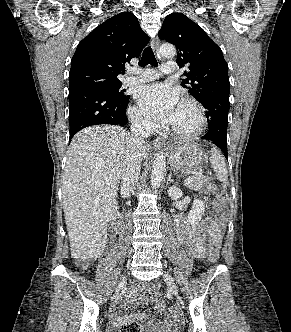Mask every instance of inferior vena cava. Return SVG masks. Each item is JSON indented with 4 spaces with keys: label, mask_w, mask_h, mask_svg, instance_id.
I'll return each instance as SVG.
<instances>
[{
    "label": "inferior vena cava",
    "mask_w": 291,
    "mask_h": 332,
    "mask_svg": "<svg viewBox=\"0 0 291 332\" xmlns=\"http://www.w3.org/2000/svg\"><path fill=\"white\" fill-rule=\"evenodd\" d=\"M152 127V123L142 117H135L132 120V134L122 170L121 193L126 197L130 196L138 182L142 162L143 139L150 135Z\"/></svg>",
    "instance_id": "1"
}]
</instances>
